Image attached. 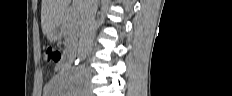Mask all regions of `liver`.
<instances>
[{
	"label": "liver",
	"mask_w": 232,
	"mask_h": 96,
	"mask_svg": "<svg viewBox=\"0 0 232 96\" xmlns=\"http://www.w3.org/2000/svg\"><path fill=\"white\" fill-rule=\"evenodd\" d=\"M80 6V1L77 0ZM71 0H42L41 27L44 35L58 28Z\"/></svg>",
	"instance_id": "obj_1"
}]
</instances>
